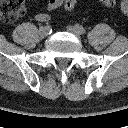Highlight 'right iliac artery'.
<instances>
[{"mask_svg": "<svg viewBox=\"0 0 128 128\" xmlns=\"http://www.w3.org/2000/svg\"><path fill=\"white\" fill-rule=\"evenodd\" d=\"M46 27L50 30V26H49V25H47ZM50 32H51V31H50Z\"/></svg>", "mask_w": 128, "mask_h": 128, "instance_id": "right-iliac-artery-1", "label": "right iliac artery"}]
</instances>
